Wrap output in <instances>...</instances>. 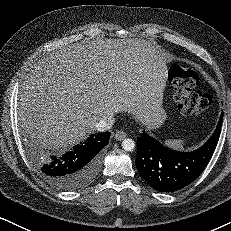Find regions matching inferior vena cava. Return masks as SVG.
<instances>
[{"instance_id": "1", "label": "inferior vena cava", "mask_w": 231, "mask_h": 231, "mask_svg": "<svg viewBox=\"0 0 231 231\" xmlns=\"http://www.w3.org/2000/svg\"><path fill=\"white\" fill-rule=\"evenodd\" d=\"M115 122V118L113 116H108L107 118L101 119L98 123L95 124V129L98 132H103L112 128Z\"/></svg>"}]
</instances>
